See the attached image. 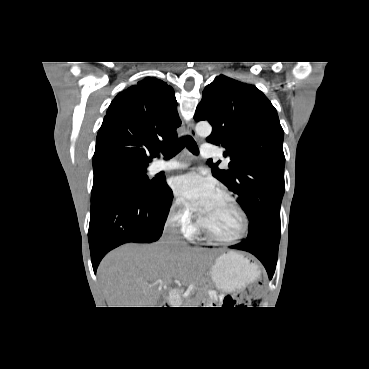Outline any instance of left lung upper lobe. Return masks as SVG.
<instances>
[{
  "instance_id": "left-lung-upper-lobe-1",
  "label": "left lung upper lobe",
  "mask_w": 369,
  "mask_h": 369,
  "mask_svg": "<svg viewBox=\"0 0 369 369\" xmlns=\"http://www.w3.org/2000/svg\"><path fill=\"white\" fill-rule=\"evenodd\" d=\"M194 119L207 120L212 125L207 141L226 149L229 169H219L220 160L208 164L245 211L246 240L280 239L284 132L272 103L254 85L221 74L205 87Z\"/></svg>"
}]
</instances>
